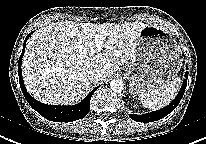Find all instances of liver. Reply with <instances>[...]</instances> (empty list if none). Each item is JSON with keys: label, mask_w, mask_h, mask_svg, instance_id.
<instances>
[{"label": "liver", "mask_w": 206, "mask_h": 144, "mask_svg": "<svg viewBox=\"0 0 206 144\" xmlns=\"http://www.w3.org/2000/svg\"><path fill=\"white\" fill-rule=\"evenodd\" d=\"M144 23H76L63 21L39 28L28 40L22 61L27 91L52 105L81 101L92 82L87 71L99 69L104 79L135 53ZM103 36L101 51L95 35Z\"/></svg>", "instance_id": "liver-1"}]
</instances>
